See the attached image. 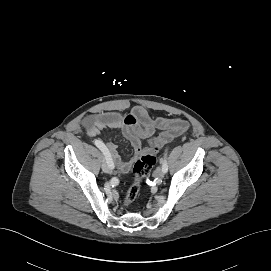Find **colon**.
Returning a JSON list of instances; mask_svg holds the SVG:
<instances>
[{"label": "colon", "instance_id": "colon-1", "mask_svg": "<svg viewBox=\"0 0 271 271\" xmlns=\"http://www.w3.org/2000/svg\"><path fill=\"white\" fill-rule=\"evenodd\" d=\"M158 149V147H153L150 151L142 154L135 162L133 166L134 180L124 197L125 206L131 205L137 198L143 178L148 175L156 163Z\"/></svg>", "mask_w": 271, "mask_h": 271}]
</instances>
